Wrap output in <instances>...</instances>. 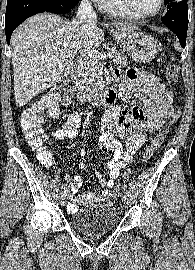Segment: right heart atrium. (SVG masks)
I'll return each mask as SVG.
<instances>
[{
    "label": "right heart atrium",
    "instance_id": "1",
    "mask_svg": "<svg viewBox=\"0 0 195 270\" xmlns=\"http://www.w3.org/2000/svg\"><path fill=\"white\" fill-rule=\"evenodd\" d=\"M91 1H93V2H95V3H97V4H99L100 7H101V3H102L103 0H91Z\"/></svg>",
    "mask_w": 195,
    "mask_h": 270
}]
</instances>
